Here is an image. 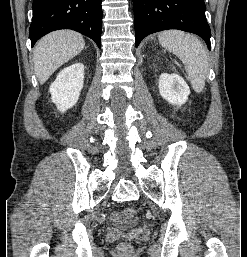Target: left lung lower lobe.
Returning a JSON list of instances; mask_svg holds the SVG:
<instances>
[{"instance_id": "left-lung-lower-lobe-1", "label": "left lung lower lobe", "mask_w": 247, "mask_h": 257, "mask_svg": "<svg viewBox=\"0 0 247 257\" xmlns=\"http://www.w3.org/2000/svg\"><path fill=\"white\" fill-rule=\"evenodd\" d=\"M133 8L136 47L149 34L179 29L199 35L210 50L204 0H133Z\"/></svg>"}]
</instances>
